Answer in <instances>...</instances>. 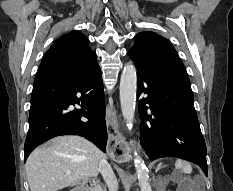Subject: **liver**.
I'll return each instance as SVG.
<instances>
[{"instance_id":"1","label":"liver","mask_w":233,"mask_h":191,"mask_svg":"<svg viewBox=\"0 0 233 191\" xmlns=\"http://www.w3.org/2000/svg\"><path fill=\"white\" fill-rule=\"evenodd\" d=\"M106 155L80 136H58L36 148L26 161L30 191H58L81 180L97 177ZM70 170L71 174H66Z\"/></svg>"}]
</instances>
